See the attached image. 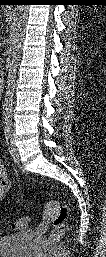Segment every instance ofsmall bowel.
Instances as JSON below:
<instances>
[{
    "label": "small bowel",
    "instance_id": "obj_1",
    "mask_svg": "<svg viewBox=\"0 0 106 257\" xmlns=\"http://www.w3.org/2000/svg\"><path fill=\"white\" fill-rule=\"evenodd\" d=\"M11 188V181L9 180L5 166L0 164V199L5 198Z\"/></svg>",
    "mask_w": 106,
    "mask_h": 257
}]
</instances>
